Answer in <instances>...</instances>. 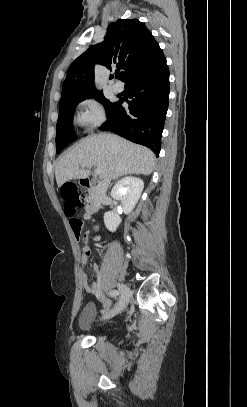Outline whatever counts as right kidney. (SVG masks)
I'll return each instance as SVG.
<instances>
[{
	"instance_id": "obj_1",
	"label": "right kidney",
	"mask_w": 247,
	"mask_h": 407,
	"mask_svg": "<svg viewBox=\"0 0 247 407\" xmlns=\"http://www.w3.org/2000/svg\"><path fill=\"white\" fill-rule=\"evenodd\" d=\"M143 188L144 182L140 178L125 177L113 187L111 197L120 201L123 212L129 214L138 202ZM121 221L119 214L115 212H106L104 214V224L111 232L116 231Z\"/></svg>"
}]
</instances>
